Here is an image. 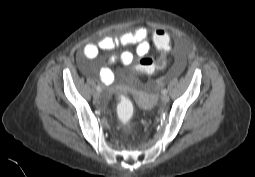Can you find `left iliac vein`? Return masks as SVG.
I'll return each instance as SVG.
<instances>
[{"label":"left iliac vein","instance_id":"4c4485c4","mask_svg":"<svg viewBox=\"0 0 255 177\" xmlns=\"http://www.w3.org/2000/svg\"><path fill=\"white\" fill-rule=\"evenodd\" d=\"M161 101H162L163 103H168V102H169V96L166 95V94H163V95L161 96Z\"/></svg>","mask_w":255,"mask_h":177}]
</instances>
